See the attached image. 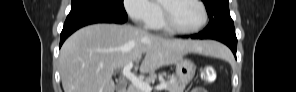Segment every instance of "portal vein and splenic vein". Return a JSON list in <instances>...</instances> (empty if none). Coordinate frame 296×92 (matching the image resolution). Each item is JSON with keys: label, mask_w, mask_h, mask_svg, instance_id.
I'll return each instance as SVG.
<instances>
[{"label": "portal vein and splenic vein", "mask_w": 296, "mask_h": 92, "mask_svg": "<svg viewBox=\"0 0 296 92\" xmlns=\"http://www.w3.org/2000/svg\"><path fill=\"white\" fill-rule=\"evenodd\" d=\"M133 65H134L133 63H128L127 65H125V67L123 68L122 74L127 79H129L134 86L138 87L143 92H151L153 88L150 86V84L143 81L142 79H139L134 73L131 72ZM166 87H167L166 83H161L156 87V89L160 90V89H165Z\"/></svg>", "instance_id": "1"}]
</instances>
